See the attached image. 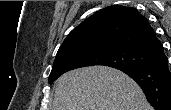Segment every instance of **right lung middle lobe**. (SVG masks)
Segmentation results:
<instances>
[{
    "label": "right lung middle lobe",
    "mask_w": 171,
    "mask_h": 110,
    "mask_svg": "<svg viewBox=\"0 0 171 110\" xmlns=\"http://www.w3.org/2000/svg\"><path fill=\"white\" fill-rule=\"evenodd\" d=\"M153 60L152 55L124 46L90 44L68 48L57 53L49 83L51 84L63 73L80 67L105 65L117 69L138 68Z\"/></svg>",
    "instance_id": "1"
}]
</instances>
